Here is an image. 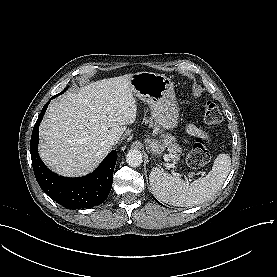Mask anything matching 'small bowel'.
Wrapping results in <instances>:
<instances>
[{
	"label": "small bowel",
	"instance_id": "obj_1",
	"mask_svg": "<svg viewBox=\"0 0 277 277\" xmlns=\"http://www.w3.org/2000/svg\"><path fill=\"white\" fill-rule=\"evenodd\" d=\"M186 133L191 136H201L203 131L196 124H189L186 127Z\"/></svg>",
	"mask_w": 277,
	"mask_h": 277
}]
</instances>
